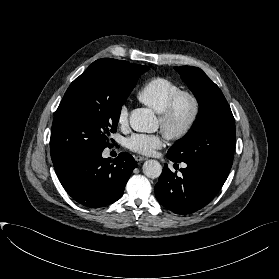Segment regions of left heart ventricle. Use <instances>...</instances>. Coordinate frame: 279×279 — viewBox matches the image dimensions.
I'll return each instance as SVG.
<instances>
[{
  "instance_id": "b2bd125f",
  "label": "left heart ventricle",
  "mask_w": 279,
  "mask_h": 279,
  "mask_svg": "<svg viewBox=\"0 0 279 279\" xmlns=\"http://www.w3.org/2000/svg\"><path fill=\"white\" fill-rule=\"evenodd\" d=\"M190 113H191L190 102L186 99H182L177 105L176 113L174 116V125L176 127L183 125L189 118Z\"/></svg>"
}]
</instances>
